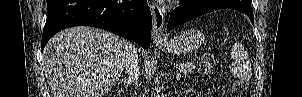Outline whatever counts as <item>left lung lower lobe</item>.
<instances>
[{"instance_id":"0a47b994","label":"left lung lower lobe","mask_w":302,"mask_h":97,"mask_svg":"<svg viewBox=\"0 0 302 97\" xmlns=\"http://www.w3.org/2000/svg\"><path fill=\"white\" fill-rule=\"evenodd\" d=\"M225 8L246 14L254 24L250 0H186L171 13L167 30H171L205 13Z\"/></svg>"}]
</instances>
